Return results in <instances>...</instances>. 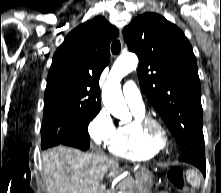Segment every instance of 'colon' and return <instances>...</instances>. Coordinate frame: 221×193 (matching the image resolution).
<instances>
[{
    "mask_svg": "<svg viewBox=\"0 0 221 193\" xmlns=\"http://www.w3.org/2000/svg\"><path fill=\"white\" fill-rule=\"evenodd\" d=\"M168 180L170 185L178 191L184 193H195L193 190L187 188L184 172L179 166H173L170 169L168 173Z\"/></svg>",
    "mask_w": 221,
    "mask_h": 193,
    "instance_id": "5ec220e1",
    "label": "colon"
}]
</instances>
